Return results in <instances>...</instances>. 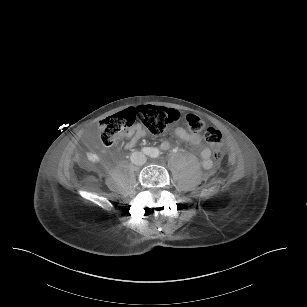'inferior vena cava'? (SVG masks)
Returning <instances> with one entry per match:
<instances>
[{"label":"inferior vena cava","mask_w":307,"mask_h":307,"mask_svg":"<svg viewBox=\"0 0 307 307\" xmlns=\"http://www.w3.org/2000/svg\"><path fill=\"white\" fill-rule=\"evenodd\" d=\"M131 161L135 165L141 166L146 162V157L143 154H140L139 152H134L131 155Z\"/></svg>","instance_id":"602c4592"}]
</instances>
